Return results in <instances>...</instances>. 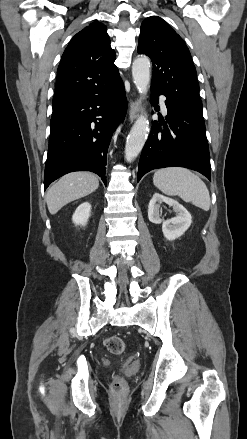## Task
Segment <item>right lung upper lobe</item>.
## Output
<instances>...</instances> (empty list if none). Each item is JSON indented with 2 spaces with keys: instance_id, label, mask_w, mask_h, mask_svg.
Instances as JSON below:
<instances>
[{
  "instance_id": "1",
  "label": "right lung upper lobe",
  "mask_w": 247,
  "mask_h": 439,
  "mask_svg": "<svg viewBox=\"0 0 247 439\" xmlns=\"http://www.w3.org/2000/svg\"><path fill=\"white\" fill-rule=\"evenodd\" d=\"M106 26L93 22L78 32L63 53L57 71L53 114L83 99L101 95L120 79Z\"/></svg>"
}]
</instances>
